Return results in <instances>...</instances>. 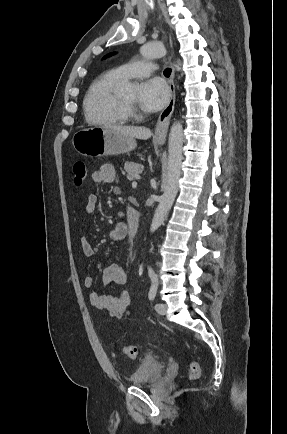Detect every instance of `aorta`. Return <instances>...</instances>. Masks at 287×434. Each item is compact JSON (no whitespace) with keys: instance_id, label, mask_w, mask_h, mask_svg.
Returning a JSON list of instances; mask_svg holds the SVG:
<instances>
[{"instance_id":"aorta-1","label":"aorta","mask_w":287,"mask_h":434,"mask_svg":"<svg viewBox=\"0 0 287 434\" xmlns=\"http://www.w3.org/2000/svg\"><path fill=\"white\" fill-rule=\"evenodd\" d=\"M140 53L148 59L161 58L167 53L164 45L160 42L147 43L140 48ZM176 67L180 69L177 62ZM133 85L128 83L126 89H132ZM168 150V169L164 193L161 196L159 205L152 219L150 231L157 230L166 219L178 193L179 179L181 175L182 164V146H183V127L180 122H174L169 134ZM148 271H152L148 267Z\"/></svg>"}]
</instances>
